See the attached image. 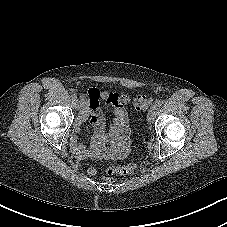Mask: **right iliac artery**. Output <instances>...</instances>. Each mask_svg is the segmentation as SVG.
<instances>
[{"label": "right iliac artery", "mask_w": 227, "mask_h": 227, "mask_svg": "<svg viewBox=\"0 0 227 227\" xmlns=\"http://www.w3.org/2000/svg\"><path fill=\"white\" fill-rule=\"evenodd\" d=\"M71 98H72V100H76L77 99L76 94L75 93L71 94Z\"/></svg>", "instance_id": "right-iliac-artery-1"}]
</instances>
